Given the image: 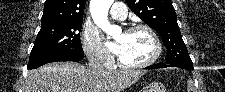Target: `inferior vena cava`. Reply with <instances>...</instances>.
I'll return each instance as SVG.
<instances>
[{
    "instance_id": "602c4592",
    "label": "inferior vena cava",
    "mask_w": 225,
    "mask_h": 92,
    "mask_svg": "<svg viewBox=\"0 0 225 92\" xmlns=\"http://www.w3.org/2000/svg\"><path fill=\"white\" fill-rule=\"evenodd\" d=\"M103 61H104V59L102 56H100L99 54L96 55V57L94 59L89 61V69L92 71L104 70Z\"/></svg>"
}]
</instances>
